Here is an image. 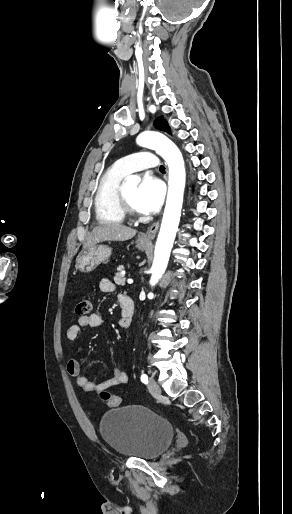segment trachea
<instances>
[{
    "instance_id": "1",
    "label": "trachea",
    "mask_w": 292,
    "mask_h": 514,
    "mask_svg": "<svg viewBox=\"0 0 292 514\" xmlns=\"http://www.w3.org/2000/svg\"><path fill=\"white\" fill-rule=\"evenodd\" d=\"M160 170L165 171V167H164V165H161V166H160Z\"/></svg>"
}]
</instances>
